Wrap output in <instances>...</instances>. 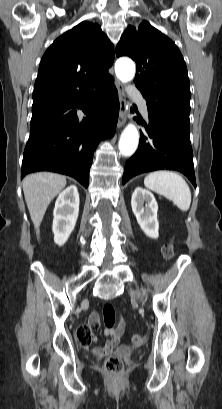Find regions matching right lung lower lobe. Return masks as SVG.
<instances>
[{"label":"right lung lower lobe","mask_w":222,"mask_h":409,"mask_svg":"<svg viewBox=\"0 0 222 409\" xmlns=\"http://www.w3.org/2000/svg\"><path fill=\"white\" fill-rule=\"evenodd\" d=\"M76 108L86 117H78ZM118 111L112 77L95 84L78 99L32 111L21 178L36 171H53L74 177L88 187L94 151L101 139L114 135Z\"/></svg>","instance_id":"right-lung-lower-lobe-1"}]
</instances>
